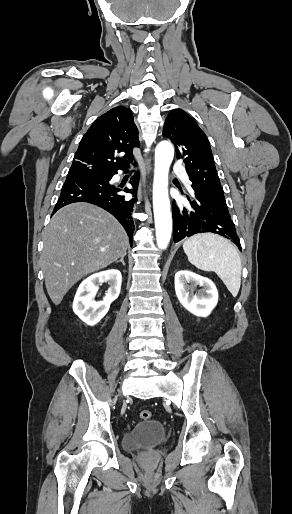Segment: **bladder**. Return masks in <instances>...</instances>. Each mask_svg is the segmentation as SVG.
Returning a JSON list of instances; mask_svg holds the SVG:
<instances>
[{"label":"bladder","mask_w":292,"mask_h":514,"mask_svg":"<svg viewBox=\"0 0 292 514\" xmlns=\"http://www.w3.org/2000/svg\"><path fill=\"white\" fill-rule=\"evenodd\" d=\"M167 438L166 429L158 420H144L136 423L123 436V448L134 451L140 448L156 446Z\"/></svg>","instance_id":"obj_1"}]
</instances>
